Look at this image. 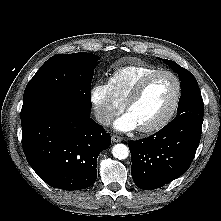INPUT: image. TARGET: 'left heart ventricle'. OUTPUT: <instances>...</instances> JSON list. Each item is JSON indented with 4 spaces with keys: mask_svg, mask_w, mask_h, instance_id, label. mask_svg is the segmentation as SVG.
<instances>
[{
    "mask_svg": "<svg viewBox=\"0 0 221 221\" xmlns=\"http://www.w3.org/2000/svg\"><path fill=\"white\" fill-rule=\"evenodd\" d=\"M176 92L174 80L168 75L153 78L128 113L138 127L148 126L161 119L170 108Z\"/></svg>",
    "mask_w": 221,
    "mask_h": 221,
    "instance_id": "1",
    "label": "left heart ventricle"
}]
</instances>
